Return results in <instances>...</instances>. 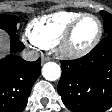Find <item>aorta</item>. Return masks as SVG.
I'll use <instances>...</instances> for the list:
<instances>
[{"label": "aorta", "instance_id": "aorta-1", "mask_svg": "<svg viewBox=\"0 0 112 112\" xmlns=\"http://www.w3.org/2000/svg\"><path fill=\"white\" fill-rule=\"evenodd\" d=\"M42 75L48 81H56L61 76V68L55 62H47L42 67Z\"/></svg>", "mask_w": 112, "mask_h": 112}]
</instances>
